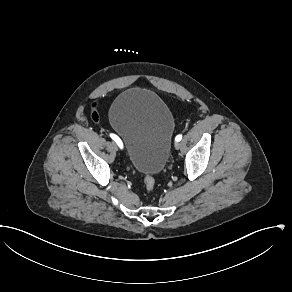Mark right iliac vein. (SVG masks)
Here are the masks:
<instances>
[{
	"instance_id": "63e3f726",
	"label": "right iliac vein",
	"mask_w": 292,
	"mask_h": 292,
	"mask_svg": "<svg viewBox=\"0 0 292 292\" xmlns=\"http://www.w3.org/2000/svg\"><path fill=\"white\" fill-rule=\"evenodd\" d=\"M111 145H112V147H113L114 150H117L118 149L117 144L115 142H112Z\"/></svg>"
}]
</instances>
